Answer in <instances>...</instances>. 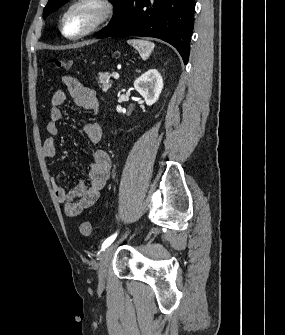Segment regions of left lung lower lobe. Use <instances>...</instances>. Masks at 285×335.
Wrapping results in <instances>:
<instances>
[{"instance_id": "left-lung-lower-lobe-1", "label": "left lung lower lobe", "mask_w": 285, "mask_h": 335, "mask_svg": "<svg viewBox=\"0 0 285 335\" xmlns=\"http://www.w3.org/2000/svg\"><path fill=\"white\" fill-rule=\"evenodd\" d=\"M195 0H121L99 39L146 36L174 46L187 64L194 26Z\"/></svg>"}]
</instances>
